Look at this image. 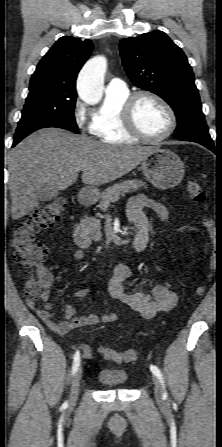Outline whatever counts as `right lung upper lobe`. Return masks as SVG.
I'll return each instance as SVG.
<instances>
[{
  "instance_id": "obj_1",
  "label": "right lung upper lobe",
  "mask_w": 222,
  "mask_h": 447,
  "mask_svg": "<svg viewBox=\"0 0 222 447\" xmlns=\"http://www.w3.org/2000/svg\"><path fill=\"white\" fill-rule=\"evenodd\" d=\"M92 49L93 44L88 39L59 38L37 65L30 87L47 85L56 92L77 96L76 77Z\"/></svg>"
}]
</instances>
